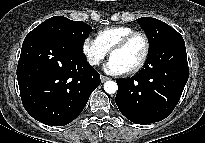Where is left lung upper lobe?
Listing matches in <instances>:
<instances>
[{
	"mask_svg": "<svg viewBox=\"0 0 205 143\" xmlns=\"http://www.w3.org/2000/svg\"><path fill=\"white\" fill-rule=\"evenodd\" d=\"M138 22L146 32L150 42V53L144 67L147 69L153 67L154 61H156L153 51L158 47V45H160L167 38L178 35L179 33L168 24L155 18L142 17L138 19ZM161 56L162 54L158 56L157 59L163 58Z\"/></svg>",
	"mask_w": 205,
	"mask_h": 143,
	"instance_id": "left-lung-upper-lobe-1",
	"label": "left lung upper lobe"
}]
</instances>
